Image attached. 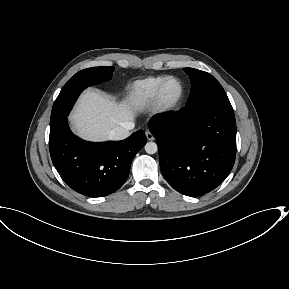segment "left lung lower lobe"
<instances>
[{
  "label": "left lung lower lobe",
  "mask_w": 289,
  "mask_h": 289,
  "mask_svg": "<svg viewBox=\"0 0 289 289\" xmlns=\"http://www.w3.org/2000/svg\"><path fill=\"white\" fill-rule=\"evenodd\" d=\"M149 129L157 139L160 169L167 182L187 196L218 187L236 157L233 109L194 105L153 116Z\"/></svg>",
  "instance_id": "obj_1"
}]
</instances>
